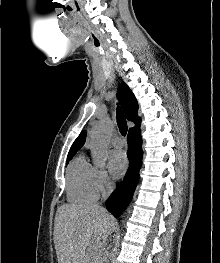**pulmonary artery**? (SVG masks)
I'll list each match as a JSON object with an SVG mask.
<instances>
[{"mask_svg": "<svg viewBox=\"0 0 220 263\" xmlns=\"http://www.w3.org/2000/svg\"><path fill=\"white\" fill-rule=\"evenodd\" d=\"M111 143H112V145L115 147V148H121L122 146H123V140L120 138V137H118V136H116V137H114L113 139H112V141H111Z\"/></svg>", "mask_w": 220, "mask_h": 263, "instance_id": "obj_1", "label": "pulmonary artery"}]
</instances>
